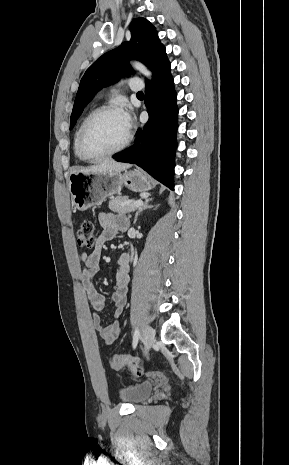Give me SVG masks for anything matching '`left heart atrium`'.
Segmentation results:
<instances>
[{"label": "left heart atrium", "instance_id": "obj_1", "mask_svg": "<svg viewBox=\"0 0 289 465\" xmlns=\"http://www.w3.org/2000/svg\"><path fill=\"white\" fill-rule=\"evenodd\" d=\"M119 112L123 118V121L127 129L130 130L131 125H132V115H131L130 109L128 107H124Z\"/></svg>", "mask_w": 289, "mask_h": 465}]
</instances>
